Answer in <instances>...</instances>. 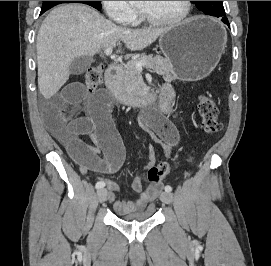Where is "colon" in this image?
<instances>
[{
  "label": "colon",
  "mask_w": 271,
  "mask_h": 266,
  "mask_svg": "<svg viewBox=\"0 0 271 266\" xmlns=\"http://www.w3.org/2000/svg\"><path fill=\"white\" fill-rule=\"evenodd\" d=\"M102 83V67L92 66L85 74V85L89 91L96 90ZM199 114L202 117L204 129L208 134L215 135L222 130V123L218 119V107L210 94H202L198 99ZM170 173V166L166 162L152 165L147 170L148 180L152 184L161 183Z\"/></svg>",
  "instance_id": "1"
}]
</instances>
